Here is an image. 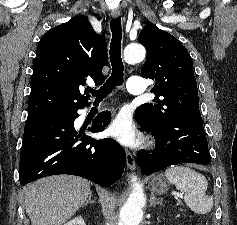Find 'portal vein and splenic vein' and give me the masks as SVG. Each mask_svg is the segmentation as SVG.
Masks as SVG:
<instances>
[{"instance_id": "obj_1", "label": "portal vein and splenic vein", "mask_w": 237, "mask_h": 225, "mask_svg": "<svg viewBox=\"0 0 237 225\" xmlns=\"http://www.w3.org/2000/svg\"><path fill=\"white\" fill-rule=\"evenodd\" d=\"M178 196L182 197V194H178Z\"/></svg>"}]
</instances>
